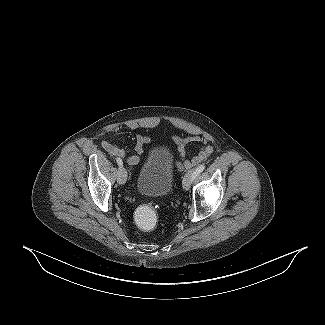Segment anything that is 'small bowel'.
<instances>
[{
	"mask_svg": "<svg viewBox=\"0 0 325 325\" xmlns=\"http://www.w3.org/2000/svg\"><path fill=\"white\" fill-rule=\"evenodd\" d=\"M151 138L149 136L138 134L136 137L135 151L136 154L125 156L124 151L115 143L104 140L102 142V147L111 155L122 156L126 158V162L129 166L134 167L140 162V157L144 154V144L149 143ZM175 142L184 158V166L186 168L193 167L200 163L201 161L207 159L211 153L212 148L209 145H203L198 154L191 159L185 158L186 152L185 147L187 144L192 142H204L203 138L200 136H190L187 138H175Z\"/></svg>",
	"mask_w": 325,
	"mask_h": 325,
	"instance_id": "1",
	"label": "small bowel"
}]
</instances>
